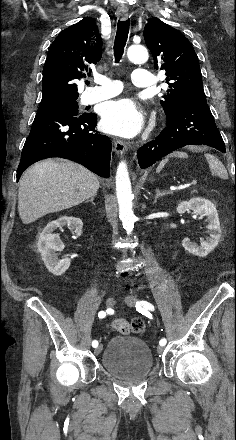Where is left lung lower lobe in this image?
Listing matches in <instances>:
<instances>
[{
  "mask_svg": "<svg viewBox=\"0 0 236 440\" xmlns=\"http://www.w3.org/2000/svg\"><path fill=\"white\" fill-rule=\"evenodd\" d=\"M166 126L155 140L138 149V163L142 169L190 144H204L226 151L206 99L186 102L172 118L167 119Z\"/></svg>",
  "mask_w": 236,
  "mask_h": 440,
  "instance_id": "0a47b994",
  "label": "left lung lower lobe"
}]
</instances>
